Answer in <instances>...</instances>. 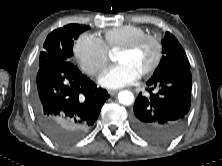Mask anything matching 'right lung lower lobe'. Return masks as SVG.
<instances>
[{
    "label": "right lung lower lobe",
    "instance_id": "obj_1",
    "mask_svg": "<svg viewBox=\"0 0 222 166\" xmlns=\"http://www.w3.org/2000/svg\"><path fill=\"white\" fill-rule=\"evenodd\" d=\"M109 98L105 89L83 75L70 61L40 67L32 104L43 132L59 144L82 138Z\"/></svg>",
    "mask_w": 222,
    "mask_h": 166
}]
</instances>
